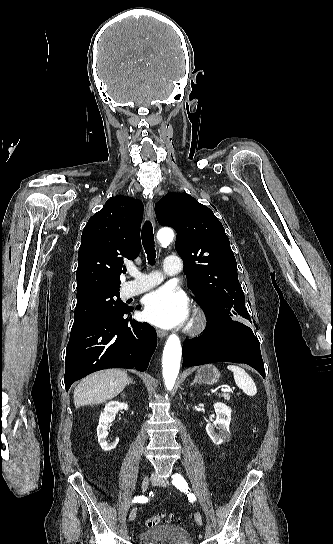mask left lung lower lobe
<instances>
[{
  "instance_id": "0a47b994",
  "label": "left lung lower lobe",
  "mask_w": 333,
  "mask_h": 544,
  "mask_svg": "<svg viewBox=\"0 0 333 544\" xmlns=\"http://www.w3.org/2000/svg\"><path fill=\"white\" fill-rule=\"evenodd\" d=\"M212 362L245 363L265 378L260 345L252 330L240 323L212 321L198 338L183 344V367Z\"/></svg>"
}]
</instances>
